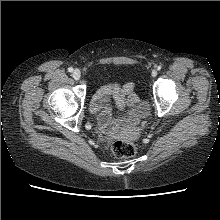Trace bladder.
I'll list each match as a JSON object with an SVG mask.
<instances>
[{
	"label": "bladder",
	"instance_id": "31cf9c89",
	"mask_svg": "<svg viewBox=\"0 0 220 220\" xmlns=\"http://www.w3.org/2000/svg\"><path fill=\"white\" fill-rule=\"evenodd\" d=\"M102 88H98L94 94H93V98H97V99H101L104 96L100 97L98 96V94L101 92ZM149 115V107L147 105H139L136 109V111H134L131 115V118L133 119H145L147 116Z\"/></svg>",
	"mask_w": 220,
	"mask_h": 220
}]
</instances>
